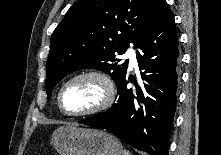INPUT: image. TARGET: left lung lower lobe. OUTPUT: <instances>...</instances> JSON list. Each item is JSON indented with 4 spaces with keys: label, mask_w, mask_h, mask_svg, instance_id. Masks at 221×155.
Here are the masks:
<instances>
[{
    "label": "left lung lower lobe",
    "mask_w": 221,
    "mask_h": 155,
    "mask_svg": "<svg viewBox=\"0 0 221 155\" xmlns=\"http://www.w3.org/2000/svg\"><path fill=\"white\" fill-rule=\"evenodd\" d=\"M136 47L141 72L135 89L126 76L117 85L118 99L106 112L79 121L106 129L149 155H167L176 109L179 50L175 21L165 2L141 35Z\"/></svg>",
    "instance_id": "1"
}]
</instances>
